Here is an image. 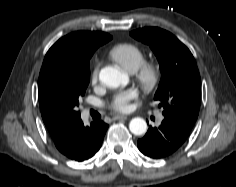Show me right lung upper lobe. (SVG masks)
Wrapping results in <instances>:
<instances>
[{
  "mask_svg": "<svg viewBox=\"0 0 236 187\" xmlns=\"http://www.w3.org/2000/svg\"><path fill=\"white\" fill-rule=\"evenodd\" d=\"M111 39L112 37L104 32H73L59 39L49 49L45 58L53 53H62L66 56L83 54L89 50L97 49L100 45ZM42 118L57 149L63 154L67 151L71 137L81 122V119L70 120L44 113L42 114Z\"/></svg>",
  "mask_w": 236,
  "mask_h": 187,
  "instance_id": "cb5924a9",
  "label": "right lung upper lobe"
}]
</instances>
